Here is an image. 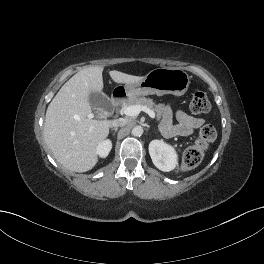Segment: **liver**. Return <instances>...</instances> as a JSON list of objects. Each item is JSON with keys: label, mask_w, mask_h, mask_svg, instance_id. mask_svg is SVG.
I'll list each match as a JSON object with an SVG mask.
<instances>
[{"label": "liver", "mask_w": 264, "mask_h": 264, "mask_svg": "<svg viewBox=\"0 0 264 264\" xmlns=\"http://www.w3.org/2000/svg\"><path fill=\"white\" fill-rule=\"evenodd\" d=\"M103 67L82 69L72 76L49 104L44 139L59 163L75 172L91 170L97 163V146L106 139L111 120H93L89 95L102 93ZM116 83L130 84L144 77L116 70L109 72Z\"/></svg>", "instance_id": "1"}]
</instances>
